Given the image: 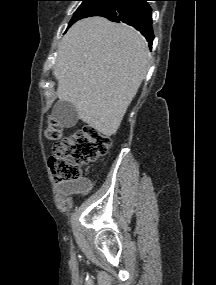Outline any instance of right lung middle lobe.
I'll return each mask as SVG.
<instances>
[{
	"label": "right lung middle lobe",
	"mask_w": 216,
	"mask_h": 285,
	"mask_svg": "<svg viewBox=\"0 0 216 285\" xmlns=\"http://www.w3.org/2000/svg\"><path fill=\"white\" fill-rule=\"evenodd\" d=\"M82 4L74 13L68 27H70L75 21L82 18L95 16L104 9L114 5L118 0H79Z\"/></svg>",
	"instance_id": "obj_1"
}]
</instances>
